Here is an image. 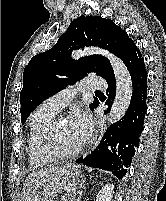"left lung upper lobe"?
I'll list each match as a JSON object with an SVG mask.
<instances>
[{
  "mask_svg": "<svg viewBox=\"0 0 166 201\" xmlns=\"http://www.w3.org/2000/svg\"><path fill=\"white\" fill-rule=\"evenodd\" d=\"M132 44L134 41L111 19L80 16L73 20L56 45L35 55L24 69L23 88L20 92L22 124L39 104L67 84L74 83L89 73H95L104 79L113 74L109 60L103 56L91 55L73 60L70 57L72 50L98 45L124 60ZM98 104L99 101L95 98L90 109L94 110Z\"/></svg>",
  "mask_w": 166,
  "mask_h": 201,
  "instance_id": "5c2ea615",
  "label": "left lung upper lobe"
}]
</instances>
